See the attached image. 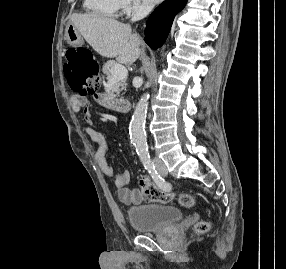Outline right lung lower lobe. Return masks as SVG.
Returning <instances> with one entry per match:
<instances>
[{
	"label": "right lung lower lobe",
	"mask_w": 286,
	"mask_h": 269,
	"mask_svg": "<svg viewBox=\"0 0 286 269\" xmlns=\"http://www.w3.org/2000/svg\"><path fill=\"white\" fill-rule=\"evenodd\" d=\"M186 3L187 0H166L154 10L145 29L148 32L145 41L152 49H157L165 42L175 15Z\"/></svg>",
	"instance_id": "1"
}]
</instances>
